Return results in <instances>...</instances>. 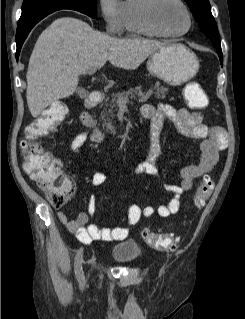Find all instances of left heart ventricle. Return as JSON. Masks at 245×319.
Segmentation results:
<instances>
[{"mask_svg": "<svg viewBox=\"0 0 245 319\" xmlns=\"http://www.w3.org/2000/svg\"><path fill=\"white\" fill-rule=\"evenodd\" d=\"M158 22L170 32H181L188 25L183 8L173 0H162L156 8Z\"/></svg>", "mask_w": 245, "mask_h": 319, "instance_id": "left-heart-ventricle-1", "label": "left heart ventricle"}]
</instances>
